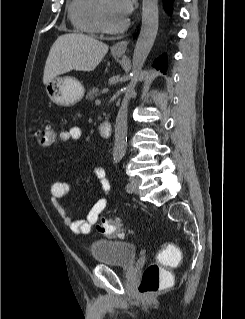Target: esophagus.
I'll return each mask as SVG.
<instances>
[{"label":"esophagus","instance_id":"esophagus-1","mask_svg":"<svg viewBox=\"0 0 245 319\" xmlns=\"http://www.w3.org/2000/svg\"><path fill=\"white\" fill-rule=\"evenodd\" d=\"M127 46H128L127 40L119 41L113 45L112 51L116 54H124L127 50Z\"/></svg>","mask_w":245,"mask_h":319}]
</instances>
